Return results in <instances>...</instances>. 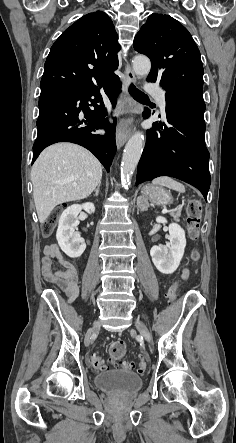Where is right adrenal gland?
Masks as SVG:
<instances>
[{
    "mask_svg": "<svg viewBox=\"0 0 236 443\" xmlns=\"http://www.w3.org/2000/svg\"><path fill=\"white\" fill-rule=\"evenodd\" d=\"M100 185H101V183L98 184L97 189L95 190V196L99 195Z\"/></svg>",
    "mask_w": 236,
    "mask_h": 443,
    "instance_id": "obj_1",
    "label": "right adrenal gland"
}]
</instances>
